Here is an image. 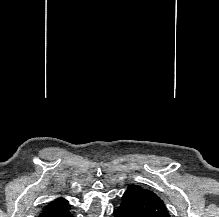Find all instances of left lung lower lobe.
Masks as SVG:
<instances>
[{"label": "left lung lower lobe", "mask_w": 219, "mask_h": 217, "mask_svg": "<svg viewBox=\"0 0 219 217\" xmlns=\"http://www.w3.org/2000/svg\"><path fill=\"white\" fill-rule=\"evenodd\" d=\"M115 217H136L128 207L124 205H120L115 211H114Z\"/></svg>", "instance_id": "0a47b994"}]
</instances>
